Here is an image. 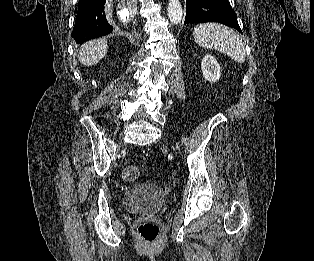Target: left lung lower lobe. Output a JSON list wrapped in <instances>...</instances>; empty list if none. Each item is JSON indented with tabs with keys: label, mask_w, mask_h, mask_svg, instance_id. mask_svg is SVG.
Instances as JSON below:
<instances>
[{
	"label": "left lung lower lobe",
	"mask_w": 314,
	"mask_h": 261,
	"mask_svg": "<svg viewBox=\"0 0 314 261\" xmlns=\"http://www.w3.org/2000/svg\"><path fill=\"white\" fill-rule=\"evenodd\" d=\"M219 22L242 33L228 0H186L185 24Z\"/></svg>",
	"instance_id": "obj_1"
}]
</instances>
